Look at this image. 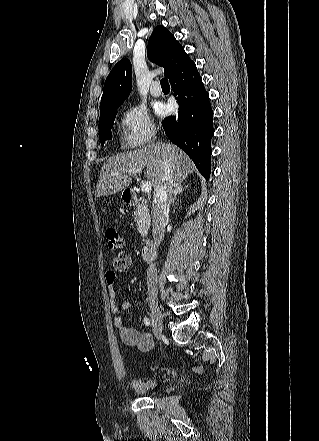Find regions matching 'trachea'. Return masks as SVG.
<instances>
[{
  "instance_id": "obj_1",
  "label": "trachea",
  "mask_w": 319,
  "mask_h": 441,
  "mask_svg": "<svg viewBox=\"0 0 319 441\" xmlns=\"http://www.w3.org/2000/svg\"><path fill=\"white\" fill-rule=\"evenodd\" d=\"M160 83H161V87H162V88H163V87H164V88H168V87H170L167 78H163V79H161Z\"/></svg>"
}]
</instances>
